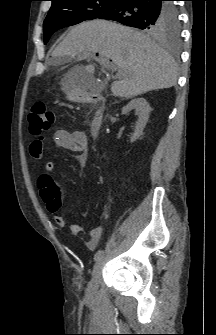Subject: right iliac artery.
I'll return each instance as SVG.
<instances>
[{
    "label": "right iliac artery",
    "instance_id": "82829eb1",
    "mask_svg": "<svg viewBox=\"0 0 216 335\" xmlns=\"http://www.w3.org/2000/svg\"><path fill=\"white\" fill-rule=\"evenodd\" d=\"M103 254H104L103 250H98L94 255V260L98 261L103 256Z\"/></svg>",
    "mask_w": 216,
    "mask_h": 335
}]
</instances>
